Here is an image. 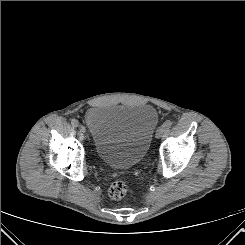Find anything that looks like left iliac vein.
I'll use <instances>...</instances> for the list:
<instances>
[{
	"label": "left iliac vein",
	"instance_id": "left-iliac-vein-1",
	"mask_svg": "<svg viewBox=\"0 0 245 245\" xmlns=\"http://www.w3.org/2000/svg\"><path fill=\"white\" fill-rule=\"evenodd\" d=\"M165 131V128L163 126L159 127L156 131V138H160Z\"/></svg>",
	"mask_w": 245,
	"mask_h": 245
}]
</instances>
